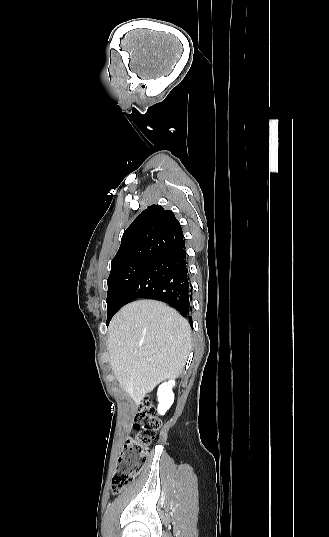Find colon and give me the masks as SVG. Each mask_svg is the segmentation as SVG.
<instances>
[{"label": "colon", "instance_id": "5ec220e1", "mask_svg": "<svg viewBox=\"0 0 329 537\" xmlns=\"http://www.w3.org/2000/svg\"><path fill=\"white\" fill-rule=\"evenodd\" d=\"M161 427L162 421L155 407L149 399L142 400L133 421L135 433L126 440L112 475L111 491L113 494L121 493L134 481L144 466L149 448Z\"/></svg>", "mask_w": 329, "mask_h": 537}]
</instances>
